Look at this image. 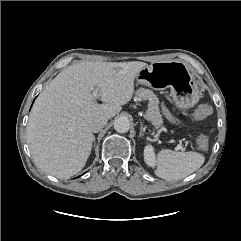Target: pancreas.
Wrapping results in <instances>:
<instances>
[{"label": "pancreas", "mask_w": 241, "mask_h": 241, "mask_svg": "<svg viewBox=\"0 0 241 241\" xmlns=\"http://www.w3.org/2000/svg\"><path fill=\"white\" fill-rule=\"evenodd\" d=\"M136 97L138 100H149L148 109L144 117L150 121L156 128H159L163 124L162 115L158 107V97L149 89L140 88L136 91Z\"/></svg>", "instance_id": "obj_1"}]
</instances>
